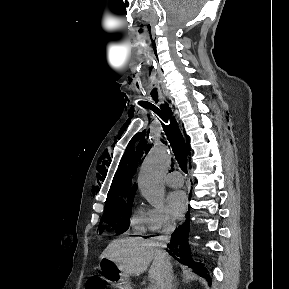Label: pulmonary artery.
<instances>
[{"label": "pulmonary artery", "mask_w": 289, "mask_h": 289, "mask_svg": "<svg viewBox=\"0 0 289 289\" xmlns=\"http://www.w3.org/2000/svg\"><path fill=\"white\" fill-rule=\"evenodd\" d=\"M165 182L170 187L178 188L183 185V177L180 172L172 171L166 175Z\"/></svg>", "instance_id": "e3ab8cb5"}]
</instances>
